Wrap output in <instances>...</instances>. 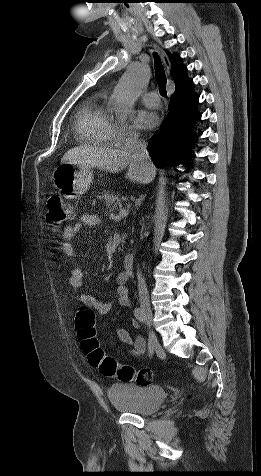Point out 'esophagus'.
<instances>
[{"instance_id":"esophagus-1","label":"esophagus","mask_w":261,"mask_h":476,"mask_svg":"<svg viewBox=\"0 0 261 476\" xmlns=\"http://www.w3.org/2000/svg\"><path fill=\"white\" fill-rule=\"evenodd\" d=\"M160 56H161V59H162V62L164 64V66H165L166 72L169 73L170 68H171V64H170V60H169L168 56L166 54H164L163 52H160Z\"/></svg>"}]
</instances>
